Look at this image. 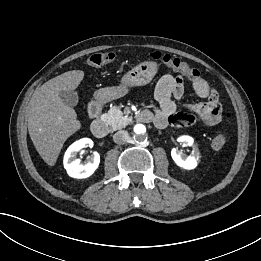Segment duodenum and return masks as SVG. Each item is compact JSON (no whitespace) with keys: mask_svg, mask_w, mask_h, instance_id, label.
Returning <instances> with one entry per match:
<instances>
[{"mask_svg":"<svg viewBox=\"0 0 261 261\" xmlns=\"http://www.w3.org/2000/svg\"><path fill=\"white\" fill-rule=\"evenodd\" d=\"M102 105L100 101H93L88 107L90 117L93 119L91 124L92 134L99 139L106 137L108 133V127L106 123L100 118ZM152 119V115L149 111L143 110L138 114V120L141 122H149Z\"/></svg>","mask_w":261,"mask_h":261,"instance_id":"obj_1","label":"duodenum"}]
</instances>
